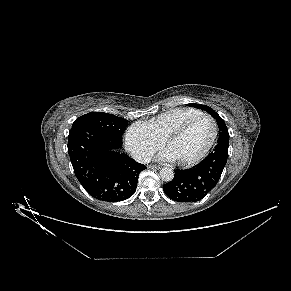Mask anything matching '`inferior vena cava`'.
<instances>
[{"instance_id":"1","label":"inferior vena cava","mask_w":291,"mask_h":291,"mask_svg":"<svg viewBox=\"0 0 291 291\" xmlns=\"http://www.w3.org/2000/svg\"><path fill=\"white\" fill-rule=\"evenodd\" d=\"M132 157L138 163H149L152 159L148 152L141 150L133 152Z\"/></svg>"}]
</instances>
